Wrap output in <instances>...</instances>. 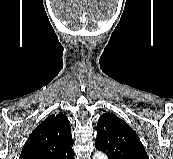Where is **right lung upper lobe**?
<instances>
[{
    "label": "right lung upper lobe",
    "instance_id": "cb5924a9",
    "mask_svg": "<svg viewBox=\"0 0 173 159\" xmlns=\"http://www.w3.org/2000/svg\"><path fill=\"white\" fill-rule=\"evenodd\" d=\"M72 146L66 115H50L30 134L19 159H72Z\"/></svg>",
    "mask_w": 173,
    "mask_h": 159
}]
</instances>
